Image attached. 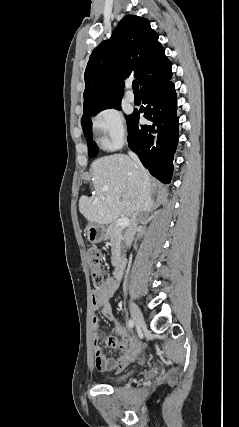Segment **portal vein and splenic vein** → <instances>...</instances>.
<instances>
[{"label":"portal vein and splenic vein","mask_w":239,"mask_h":427,"mask_svg":"<svg viewBox=\"0 0 239 427\" xmlns=\"http://www.w3.org/2000/svg\"><path fill=\"white\" fill-rule=\"evenodd\" d=\"M129 223H130V220L126 217H123L117 220L116 225L119 227H127Z\"/></svg>","instance_id":"18ae733b"}]
</instances>
